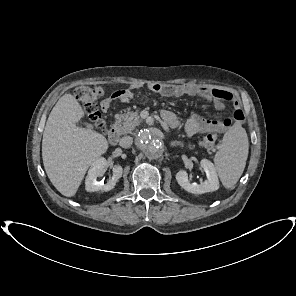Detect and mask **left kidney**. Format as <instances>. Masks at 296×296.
<instances>
[{
  "mask_svg": "<svg viewBox=\"0 0 296 296\" xmlns=\"http://www.w3.org/2000/svg\"><path fill=\"white\" fill-rule=\"evenodd\" d=\"M200 166L206 173L207 180L197 183H190L188 174L185 170H180L176 174L178 184L186 191L193 194H203L206 192H213L219 189V180L213 163L207 159L200 162Z\"/></svg>",
  "mask_w": 296,
  "mask_h": 296,
  "instance_id": "5707ae66",
  "label": "left kidney"
}]
</instances>
